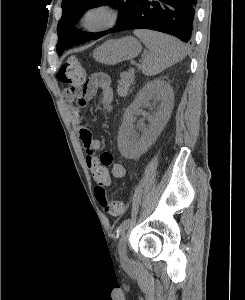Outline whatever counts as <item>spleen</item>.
<instances>
[{"instance_id": "3e777b00", "label": "spleen", "mask_w": 245, "mask_h": 300, "mask_svg": "<svg viewBox=\"0 0 245 300\" xmlns=\"http://www.w3.org/2000/svg\"><path fill=\"white\" fill-rule=\"evenodd\" d=\"M134 35L150 50L142 63L145 75H156L186 56L184 45L174 37L149 30H136Z\"/></svg>"}]
</instances>
